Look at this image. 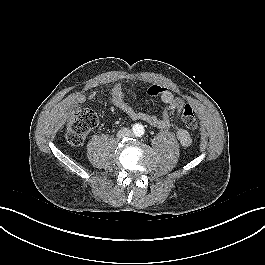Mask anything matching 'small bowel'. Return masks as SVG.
<instances>
[{
    "label": "small bowel",
    "mask_w": 265,
    "mask_h": 265,
    "mask_svg": "<svg viewBox=\"0 0 265 265\" xmlns=\"http://www.w3.org/2000/svg\"><path fill=\"white\" fill-rule=\"evenodd\" d=\"M95 97L96 94L92 93L89 96V99H94ZM160 98L165 106L161 115L158 117L130 106L126 102L123 87L118 83L112 87L108 94V99L110 102L123 113H125L129 118L147 123L162 130H166L171 126V117L175 116L177 119L180 118L184 100L180 97H177L171 90L167 88H163ZM86 100L87 97L83 94H78L75 97V101L77 103H84ZM175 132L178 140L183 146H189L191 144L190 134L178 123L175 124Z\"/></svg>",
    "instance_id": "obj_1"
}]
</instances>
